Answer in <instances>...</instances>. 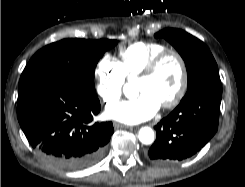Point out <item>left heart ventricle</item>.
<instances>
[{"label": "left heart ventricle", "mask_w": 245, "mask_h": 187, "mask_svg": "<svg viewBox=\"0 0 245 187\" xmlns=\"http://www.w3.org/2000/svg\"><path fill=\"white\" fill-rule=\"evenodd\" d=\"M181 79V70L175 57L165 58L152 76L138 78L136 89L138 93L148 92L162 105L177 91Z\"/></svg>", "instance_id": "1"}]
</instances>
